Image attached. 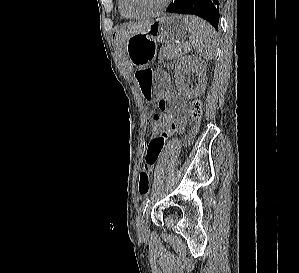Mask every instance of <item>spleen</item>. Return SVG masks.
Returning a JSON list of instances; mask_svg holds the SVG:
<instances>
[{
  "label": "spleen",
  "mask_w": 299,
  "mask_h": 273,
  "mask_svg": "<svg viewBox=\"0 0 299 273\" xmlns=\"http://www.w3.org/2000/svg\"><path fill=\"white\" fill-rule=\"evenodd\" d=\"M184 18L190 33V43L197 54L207 61L214 59L218 40L215 29L199 17L188 15Z\"/></svg>",
  "instance_id": "obj_1"
}]
</instances>
